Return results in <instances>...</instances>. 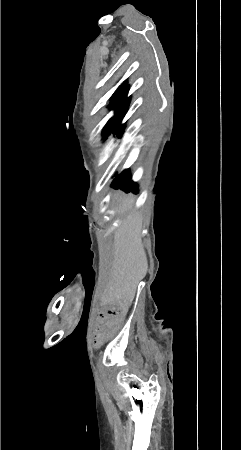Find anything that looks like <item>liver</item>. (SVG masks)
Masks as SVG:
<instances>
[{"mask_svg":"<svg viewBox=\"0 0 241 450\" xmlns=\"http://www.w3.org/2000/svg\"><path fill=\"white\" fill-rule=\"evenodd\" d=\"M120 212L130 208L133 198L118 196ZM142 216L130 214L122 222L114 234L113 262L108 282V294L111 300L118 304L130 306L135 296L136 288L145 278L148 262L141 240Z\"/></svg>","mask_w":241,"mask_h":450,"instance_id":"obj_1","label":"liver"}]
</instances>
